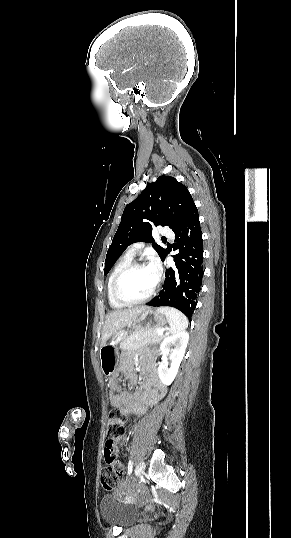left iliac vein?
<instances>
[{
    "label": "left iliac vein",
    "mask_w": 291,
    "mask_h": 538,
    "mask_svg": "<svg viewBox=\"0 0 291 538\" xmlns=\"http://www.w3.org/2000/svg\"><path fill=\"white\" fill-rule=\"evenodd\" d=\"M144 471H145V463L143 460H141L136 466L135 473L137 476H141L144 474Z\"/></svg>",
    "instance_id": "left-iliac-vein-1"
}]
</instances>
